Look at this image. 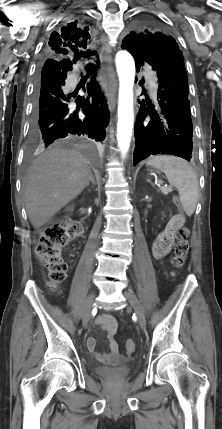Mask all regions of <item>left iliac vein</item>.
Returning <instances> with one entry per match:
<instances>
[{
  "label": "left iliac vein",
  "mask_w": 222,
  "mask_h": 429,
  "mask_svg": "<svg viewBox=\"0 0 222 429\" xmlns=\"http://www.w3.org/2000/svg\"><path fill=\"white\" fill-rule=\"evenodd\" d=\"M124 296L127 299L128 303L134 309V311L137 315L138 323H139L140 327L142 329H144L146 326V319H145V314H144L143 308H142L139 300L131 291H125Z\"/></svg>",
  "instance_id": "4c4485c4"
}]
</instances>
